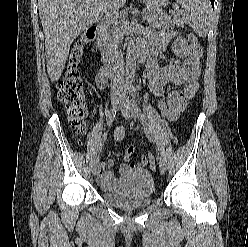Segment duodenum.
Wrapping results in <instances>:
<instances>
[{
    "label": "duodenum",
    "mask_w": 248,
    "mask_h": 247,
    "mask_svg": "<svg viewBox=\"0 0 248 247\" xmlns=\"http://www.w3.org/2000/svg\"><path fill=\"white\" fill-rule=\"evenodd\" d=\"M92 30L95 34V42L97 44V47L99 48L102 58H103V66L107 73H114L116 67L119 64V58L118 56L112 55L107 50L106 45V22L105 20H98L94 26L92 27ZM137 58L140 62H145L149 59L147 51H140L137 54Z\"/></svg>",
    "instance_id": "obj_1"
}]
</instances>
